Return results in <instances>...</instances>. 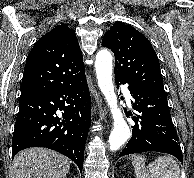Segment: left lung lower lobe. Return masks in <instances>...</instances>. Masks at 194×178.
<instances>
[{
  "mask_svg": "<svg viewBox=\"0 0 194 178\" xmlns=\"http://www.w3.org/2000/svg\"><path fill=\"white\" fill-rule=\"evenodd\" d=\"M117 85L124 82L116 80ZM134 110L138 112L133 120L132 137L119 156L146 151L168 153L183 163V155L177 132L172 123L163 91H154L129 85Z\"/></svg>",
  "mask_w": 194,
  "mask_h": 178,
  "instance_id": "1",
  "label": "left lung lower lobe"
}]
</instances>
